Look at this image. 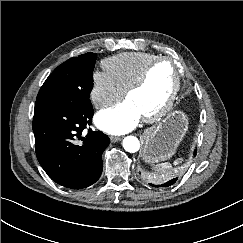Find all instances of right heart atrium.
Masks as SVG:
<instances>
[{"label":"right heart atrium","instance_id":"right-heart-atrium-1","mask_svg":"<svg viewBox=\"0 0 243 243\" xmlns=\"http://www.w3.org/2000/svg\"><path fill=\"white\" fill-rule=\"evenodd\" d=\"M123 91L107 70H96L93 73L90 99L96 108H102L117 100Z\"/></svg>","mask_w":243,"mask_h":243}]
</instances>
